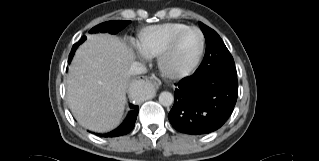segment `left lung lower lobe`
<instances>
[{"label": "left lung lower lobe", "instance_id": "1", "mask_svg": "<svg viewBox=\"0 0 319 161\" xmlns=\"http://www.w3.org/2000/svg\"><path fill=\"white\" fill-rule=\"evenodd\" d=\"M175 85L168 118L175 129L190 135L219 129L231 115L238 96L237 75L225 72L193 74Z\"/></svg>", "mask_w": 319, "mask_h": 161}]
</instances>
